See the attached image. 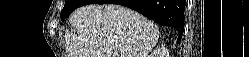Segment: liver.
<instances>
[{
  "instance_id": "obj_1",
  "label": "liver",
  "mask_w": 249,
  "mask_h": 57,
  "mask_svg": "<svg viewBox=\"0 0 249 57\" xmlns=\"http://www.w3.org/2000/svg\"><path fill=\"white\" fill-rule=\"evenodd\" d=\"M70 23V57H146L159 38L157 25L117 4L80 7Z\"/></svg>"
}]
</instances>
